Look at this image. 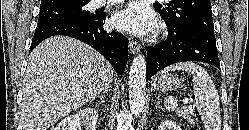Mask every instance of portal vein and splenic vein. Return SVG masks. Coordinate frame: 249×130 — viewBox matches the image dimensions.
I'll return each instance as SVG.
<instances>
[{
    "label": "portal vein and splenic vein",
    "mask_w": 249,
    "mask_h": 130,
    "mask_svg": "<svg viewBox=\"0 0 249 130\" xmlns=\"http://www.w3.org/2000/svg\"><path fill=\"white\" fill-rule=\"evenodd\" d=\"M183 103H184V104H188V103H189V100H188L187 98H184V99H183ZM191 112H192V111H191Z\"/></svg>",
    "instance_id": "1"
}]
</instances>
